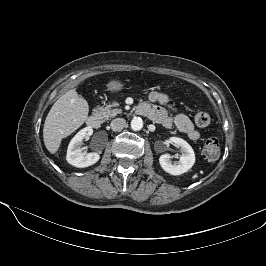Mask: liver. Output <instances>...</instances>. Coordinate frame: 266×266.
I'll return each instance as SVG.
<instances>
[{
    "instance_id": "6515ba94",
    "label": "liver",
    "mask_w": 266,
    "mask_h": 266,
    "mask_svg": "<svg viewBox=\"0 0 266 266\" xmlns=\"http://www.w3.org/2000/svg\"><path fill=\"white\" fill-rule=\"evenodd\" d=\"M89 106L76 89L62 95L50 109L43 128V139L47 150L55 154L61 140L77 130L88 118Z\"/></svg>"
}]
</instances>
